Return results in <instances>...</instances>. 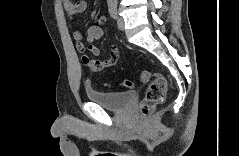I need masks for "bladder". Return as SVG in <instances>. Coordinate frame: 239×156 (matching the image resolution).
Listing matches in <instances>:
<instances>
[{
  "label": "bladder",
  "mask_w": 239,
  "mask_h": 156,
  "mask_svg": "<svg viewBox=\"0 0 239 156\" xmlns=\"http://www.w3.org/2000/svg\"><path fill=\"white\" fill-rule=\"evenodd\" d=\"M134 97L135 93L133 91L107 92L91 87L86 88V98L90 102L96 103L110 111L122 112L126 110Z\"/></svg>",
  "instance_id": "31cf9c89"
}]
</instances>
